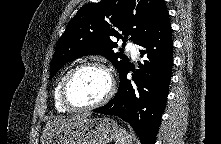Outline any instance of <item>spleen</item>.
<instances>
[{"mask_svg":"<svg viewBox=\"0 0 221 144\" xmlns=\"http://www.w3.org/2000/svg\"><path fill=\"white\" fill-rule=\"evenodd\" d=\"M117 144H132V136L125 129H121L117 136Z\"/></svg>","mask_w":221,"mask_h":144,"instance_id":"obj_1","label":"spleen"}]
</instances>
